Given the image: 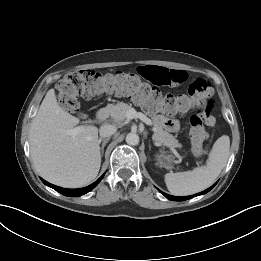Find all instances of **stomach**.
Wrapping results in <instances>:
<instances>
[{"instance_id":"1","label":"stomach","mask_w":261,"mask_h":261,"mask_svg":"<svg viewBox=\"0 0 261 261\" xmlns=\"http://www.w3.org/2000/svg\"><path fill=\"white\" fill-rule=\"evenodd\" d=\"M157 165L163 167V166H169L174 162V159L171 155L165 154L162 152L161 154L156 156Z\"/></svg>"}]
</instances>
